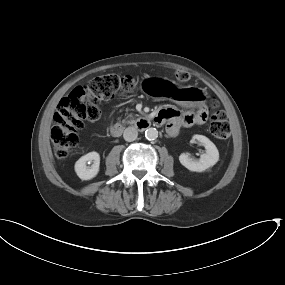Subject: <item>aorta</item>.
I'll use <instances>...</instances> for the list:
<instances>
[{"mask_svg": "<svg viewBox=\"0 0 285 285\" xmlns=\"http://www.w3.org/2000/svg\"><path fill=\"white\" fill-rule=\"evenodd\" d=\"M145 137L148 140H155L158 137V131L156 128H148L145 131Z\"/></svg>", "mask_w": 285, "mask_h": 285, "instance_id": "762f6f07", "label": "aorta"}]
</instances>
